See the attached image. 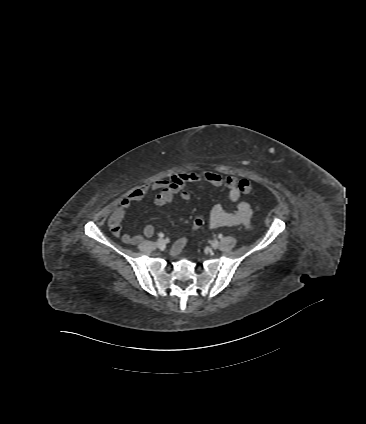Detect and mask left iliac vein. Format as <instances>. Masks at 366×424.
<instances>
[{
    "label": "left iliac vein",
    "mask_w": 366,
    "mask_h": 424,
    "mask_svg": "<svg viewBox=\"0 0 366 424\" xmlns=\"http://www.w3.org/2000/svg\"><path fill=\"white\" fill-rule=\"evenodd\" d=\"M219 245H220V242L218 240H213L212 243H211V247L213 249H217L219 247Z\"/></svg>",
    "instance_id": "4c4485c4"
}]
</instances>
